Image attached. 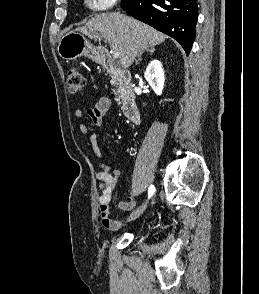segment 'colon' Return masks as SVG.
Instances as JSON below:
<instances>
[{
    "instance_id": "1",
    "label": "colon",
    "mask_w": 259,
    "mask_h": 294,
    "mask_svg": "<svg viewBox=\"0 0 259 294\" xmlns=\"http://www.w3.org/2000/svg\"><path fill=\"white\" fill-rule=\"evenodd\" d=\"M85 78L81 70L76 67H70L67 71L66 84L67 88L71 93H77L84 89Z\"/></svg>"
}]
</instances>
